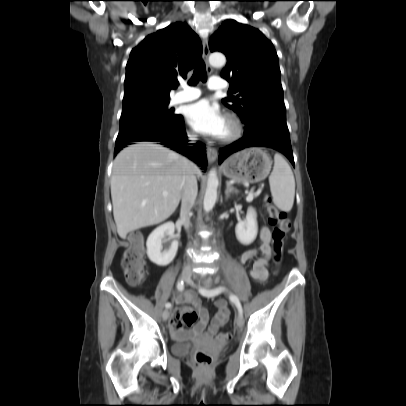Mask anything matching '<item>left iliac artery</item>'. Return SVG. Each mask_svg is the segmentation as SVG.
Instances as JSON below:
<instances>
[{"label":"left iliac artery","mask_w":406,"mask_h":406,"mask_svg":"<svg viewBox=\"0 0 406 406\" xmlns=\"http://www.w3.org/2000/svg\"><path fill=\"white\" fill-rule=\"evenodd\" d=\"M223 291H225L224 287H216L214 289H204V288H200L199 292L203 295V296H207V297H212V296H216L219 295L220 293H222ZM230 300L236 305L239 313L242 315L243 314V309L241 306V303L238 299V297L234 294H230Z\"/></svg>","instance_id":"obj_1"}]
</instances>
